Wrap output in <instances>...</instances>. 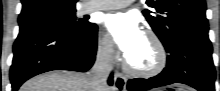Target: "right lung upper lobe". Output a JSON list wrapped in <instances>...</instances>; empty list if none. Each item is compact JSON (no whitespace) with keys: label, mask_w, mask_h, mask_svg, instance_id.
<instances>
[{"label":"right lung upper lobe","mask_w":220,"mask_h":91,"mask_svg":"<svg viewBox=\"0 0 220 91\" xmlns=\"http://www.w3.org/2000/svg\"><path fill=\"white\" fill-rule=\"evenodd\" d=\"M77 0H22L19 25L28 24L44 16L75 9Z\"/></svg>","instance_id":"1"}]
</instances>
